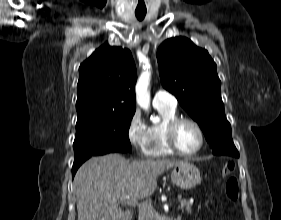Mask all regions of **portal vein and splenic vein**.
<instances>
[{
  "label": "portal vein and splenic vein",
  "instance_id": "obj_1",
  "mask_svg": "<svg viewBox=\"0 0 281 220\" xmlns=\"http://www.w3.org/2000/svg\"><path fill=\"white\" fill-rule=\"evenodd\" d=\"M123 200L129 201V200H130V196L124 197ZM178 200H181V196H178ZM132 203H133L134 205H136L138 202H137V201H133Z\"/></svg>",
  "mask_w": 281,
  "mask_h": 220
}]
</instances>
